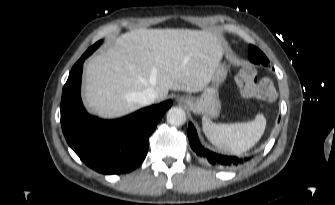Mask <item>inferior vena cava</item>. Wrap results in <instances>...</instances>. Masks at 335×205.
I'll return each mask as SVG.
<instances>
[{
	"label": "inferior vena cava",
	"mask_w": 335,
	"mask_h": 205,
	"mask_svg": "<svg viewBox=\"0 0 335 205\" xmlns=\"http://www.w3.org/2000/svg\"><path fill=\"white\" fill-rule=\"evenodd\" d=\"M157 98V92L154 88H147L144 91L137 94V101L142 105H150L152 104Z\"/></svg>",
	"instance_id": "obj_1"
}]
</instances>
